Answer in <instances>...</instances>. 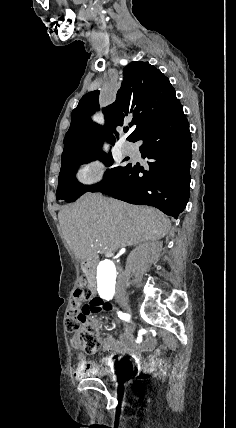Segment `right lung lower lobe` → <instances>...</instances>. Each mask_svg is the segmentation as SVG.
I'll return each mask as SVG.
<instances>
[{
	"mask_svg": "<svg viewBox=\"0 0 236 428\" xmlns=\"http://www.w3.org/2000/svg\"><path fill=\"white\" fill-rule=\"evenodd\" d=\"M131 141H142L139 149L150 159L148 167L128 164L98 192L178 218L189 199L192 144L182 105L144 126Z\"/></svg>",
	"mask_w": 236,
	"mask_h": 428,
	"instance_id": "1",
	"label": "right lung lower lobe"
}]
</instances>
